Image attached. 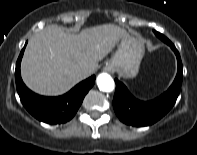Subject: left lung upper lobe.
<instances>
[{
	"mask_svg": "<svg viewBox=\"0 0 197 155\" xmlns=\"http://www.w3.org/2000/svg\"><path fill=\"white\" fill-rule=\"evenodd\" d=\"M154 33L162 40V41H164L165 43L167 42V38L164 36V35H162L161 33H158L157 31H154Z\"/></svg>",
	"mask_w": 197,
	"mask_h": 155,
	"instance_id": "5c2ea615",
	"label": "left lung upper lobe"
}]
</instances>
